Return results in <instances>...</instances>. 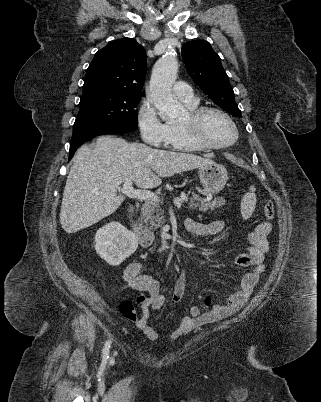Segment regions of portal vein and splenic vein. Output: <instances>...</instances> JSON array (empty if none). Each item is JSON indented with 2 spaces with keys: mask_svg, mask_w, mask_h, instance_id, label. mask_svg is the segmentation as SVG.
I'll return each instance as SVG.
<instances>
[{
  "mask_svg": "<svg viewBox=\"0 0 321 402\" xmlns=\"http://www.w3.org/2000/svg\"><path fill=\"white\" fill-rule=\"evenodd\" d=\"M122 193L126 194L130 198H136L140 200H152V201H159L158 196L145 189H134L132 186V182L130 180L125 181L123 187L121 188ZM187 201L185 198H175L174 204L181 205L183 202Z\"/></svg>",
  "mask_w": 321,
  "mask_h": 402,
  "instance_id": "1",
  "label": "portal vein and splenic vein"
}]
</instances>
